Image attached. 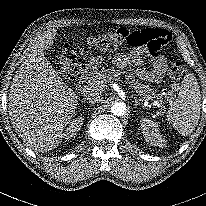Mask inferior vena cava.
<instances>
[{
  "label": "inferior vena cava",
  "mask_w": 206,
  "mask_h": 206,
  "mask_svg": "<svg viewBox=\"0 0 206 206\" xmlns=\"http://www.w3.org/2000/svg\"><path fill=\"white\" fill-rule=\"evenodd\" d=\"M100 89L96 87H90V88H87L86 90V88L85 89L83 88L82 93L85 97H87L86 99H88L90 102L95 103V102L101 101L99 92H98L100 91Z\"/></svg>",
  "instance_id": "obj_1"
}]
</instances>
